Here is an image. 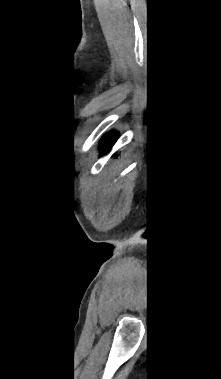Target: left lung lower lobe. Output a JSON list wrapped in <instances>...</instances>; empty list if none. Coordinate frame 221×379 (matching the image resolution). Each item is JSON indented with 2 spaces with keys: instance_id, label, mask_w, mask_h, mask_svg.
<instances>
[{
  "instance_id": "left-lung-lower-lobe-1",
  "label": "left lung lower lobe",
  "mask_w": 221,
  "mask_h": 379,
  "mask_svg": "<svg viewBox=\"0 0 221 379\" xmlns=\"http://www.w3.org/2000/svg\"><path fill=\"white\" fill-rule=\"evenodd\" d=\"M116 135L114 134H109L107 135V137L103 140V149H102V153H106L109 151V149L111 148V146L114 144V142L116 141Z\"/></svg>"
}]
</instances>
